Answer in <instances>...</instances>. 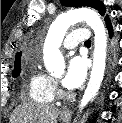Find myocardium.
<instances>
[{
    "instance_id": "1",
    "label": "myocardium",
    "mask_w": 122,
    "mask_h": 123,
    "mask_svg": "<svg viewBox=\"0 0 122 123\" xmlns=\"http://www.w3.org/2000/svg\"><path fill=\"white\" fill-rule=\"evenodd\" d=\"M59 95H60V96H64L65 93H64L62 90H60V91H59Z\"/></svg>"
}]
</instances>
